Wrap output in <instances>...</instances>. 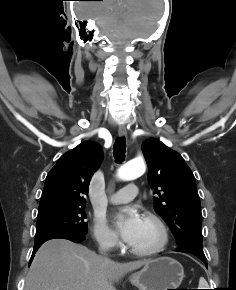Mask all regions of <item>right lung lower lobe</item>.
I'll return each mask as SVG.
<instances>
[{
    "label": "right lung lower lobe",
    "mask_w": 236,
    "mask_h": 290,
    "mask_svg": "<svg viewBox=\"0 0 236 290\" xmlns=\"http://www.w3.org/2000/svg\"><path fill=\"white\" fill-rule=\"evenodd\" d=\"M55 238H62V239H68V240H71L75 243H80L82 242L83 240H85V236L84 235H68V234H58V235H54V236H51V237H48V238H45V239H42V240H39V241H35V244H34V249H33V253H32V256H31V259L29 261V264H31L32 262V259L34 257V254L36 253V251L38 250V248L44 243L46 242L47 240H50V239H55Z\"/></svg>",
    "instance_id": "right-lung-lower-lobe-1"
}]
</instances>
